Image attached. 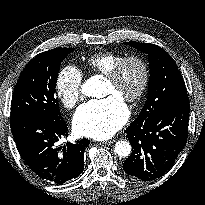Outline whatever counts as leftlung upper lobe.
Instances as JSON below:
<instances>
[{
    "mask_svg": "<svg viewBox=\"0 0 205 205\" xmlns=\"http://www.w3.org/2000/svg\"><path fill=\"white\" fill-rule=\"evenodd\" d=\"M124 44L147 53L150 65L147 101L132 124L145 122L171 104L188 101L183 78L176 63L166 51L150 43L130 41Z\"/></svg>",
    "mask_w": 205,
    "mask_h": 205,
    "instance_id": "obj_1",
    "label": "left lung upper lobe"
}]
</instances>
